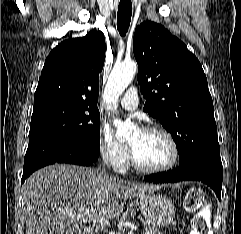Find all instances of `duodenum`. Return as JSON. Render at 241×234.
I'll use <instances>...</instances> for the list:
<instances>
[{
  "label": "duodenum",
  "instance_id": "1",
  "mask_svg": "<svg viewBox=\"0 0 241 234\" xmlns=\"http://www.w3.org/2000/svg\"><path fill=\"white\" fill-rule=\"evenodd\" d=\"M84 234H92V231H91V230H86V231L84 232Z\"/></svg>",
  "mask_w": 241,
  "mask_h": 234
}]
</instances>
